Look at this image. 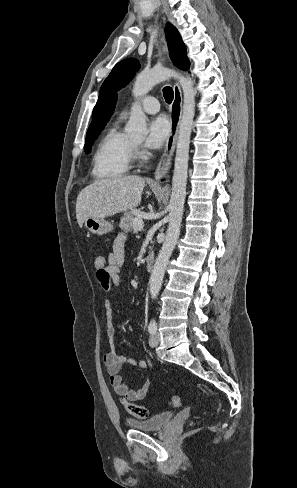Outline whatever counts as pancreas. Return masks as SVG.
<instances>
[{
	"mask_svg": "<svg viewBox=\"0 0 297 488\" xmlns=\"http://www.w3.org/2000/svg\"><path fill=\"white\" fill-rule=\"evenodd\" d=\"M141 214L140 211H134V212H125L124 215L120 219V228L124 232H132L134 230L133 228V220L137 217L138 214Z\"/></svg>",
	"mask_w": 297,
	"mask_h": 488,
	"instance_id": "1",
	"label": "pancreas"
}]
</instances>
